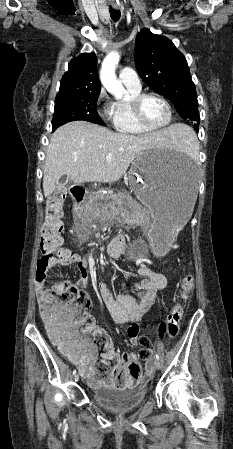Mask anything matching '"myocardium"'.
<instances>
[{"mask_svg": "<svg viewBox=\"0 0 233 449\" xmlns=\"http://www.w3.org/2000/svg\"><path fill=\"white\" fill-rule=\"evenodd\" d=\"M149 97H154V98L159 99L160 101H162L164 103V105L167 108L168 118H167L166 122L163 123L162 125H158V126L151 125L143 117L142 103L146 98H149ZM130 106H131V111H132V114H133L136 122L140 126H142L143 128H145L147 130H150V131L161 130V129L167 127L172 121V115H173L172 107H171L169 101L164 96H162L158 93H155V92L140 93L131 99Z\"/></svg>", "mask_w": 233, "mask_h": 449, "instance_id": "f54148a6", "label": "myocardium"}]
</instances>
